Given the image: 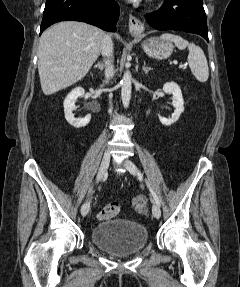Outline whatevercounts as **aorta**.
<instances>
[{"label": "aorta", "instance_id": "762f6f07", "mask_svg": "<svg viewBox=\"0 0 240 287\" xmlns=\"http://www.w3.org/2000/svg\"><path fill=\"white\" fill-rule=\"evenodd\" d=\"M131 79H132L131 73L129 71H126L121 81V87H122L121 97L124 108H127L129 106L131 99V89H132Z\"/></svg>", "mask_w": 240, "mask_h": 287}]
</instances>
